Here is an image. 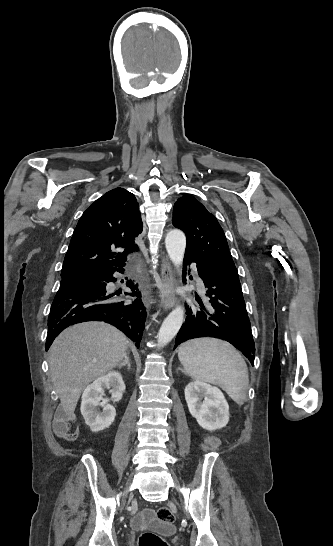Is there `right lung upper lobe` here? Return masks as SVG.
I'll return each instance as SVG.
<instances>
[{
  "instance_id": "right-lung-upper-lobe-1",
  "label": "right lung upper lobe",
  "mask_w": 333,
  "mask_h": 546,
  "mask_svg": "<svg viewBox=\"0 0 333 546\" xmlns=\"http://www.w3.org/2000/svg\"><path fill=\"white\" fill-rule=\"evenodd\" d=\"M142 220L134 194L113 189L96 200L78 221L64 259L62 280L84 279L125 266L137 251ZM122 247V253L116 248Z\"/></svg>"
}]
</instances>
